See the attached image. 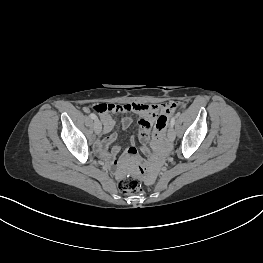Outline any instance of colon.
Returning a JSON list of instances; mask_svg holds the SVG:
<instances>
[{
    "label": "colon",
    "instance_id": "colon-1",
    "mask_svg": "<svg viewBox=\"0 0 263 263\" xmlns=\"http://www.w3.org/2000/svg\"><path fill=\"white\" fill-rule=\"evenodd\" d=\"M180 104V103H179ZM167 102H152L137 100H130L128 103H114L107 104L99 103L95 105L94 112L97 115H113V114H129L137 115L140 113H163L166 110ZM181 108V104H180ZM163 156V154H162ZM163 159V157H162ZM118 189L125 194H134L141 190V184L135 177H127L118 183Z\"/></svg>",
    "mask_w": 263,
    "mask_h": 263
}]
</instances>
